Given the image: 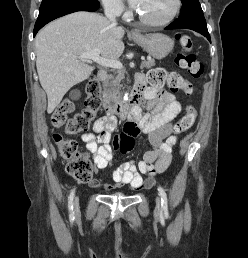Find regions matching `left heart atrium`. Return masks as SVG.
Returning a JSON list of instances; mask_svg holds the SVG:
<instances>
[{"instance_id":"39dd6f15","label":"left heart atrium","mask_w":248,"mask_h":258,"mask_svg":"<svg viewBox=\"0 0 248 258\" xmlns=\"http://www.w3.org/2000/svg\"><path fill=\"white\" fill-rule=\"evenodd\" d=\"M130 2L134 8H139L141 0H130Z\"/></svg>"}]
</instances>
